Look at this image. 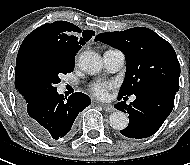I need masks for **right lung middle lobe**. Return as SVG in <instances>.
Returning <instances> with one entry per match:
<instances>
[{
  "mask_svg": "<svg viewBox=\"0 0 190 165\" xmlns=\"http://www.w3.org/2000/svg\"><path fill=\"white\" fill-rule=\"evenodd\" d=\"M25 95L28 98L46 91L55 90L62 74L74 68V55L58 47L33 43L25 52L23 63Z\"/></svg>",
  "mask_w": 190,
  "mask_h": 165,
  "instance_id": "dd1d6c3e",
  "label": "right lung middle lobe"
}]
</instances>
